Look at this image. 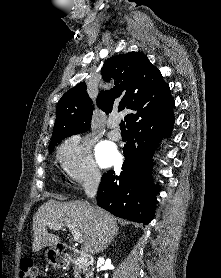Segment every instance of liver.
Segmentation results:
<instances>
[{
  "label": "liver",
  "instance_id": "liver-1",
  "mask_svg": "<svg viewBox=\"0 0 221 278\" xmlns=\"http://www.w3.org/2000/svg\"><path fill=\"white\" fill-rule=\"evenodd\" d=\"M54 224L75 226L85 241L82 251L92 255L106 249L119 230L116 219L100 207L79 200L60 202L50 199L33 217V252L60 242L59 236L47 231V227Z\"/></svg>",
  "mask_w": 221,
  "mask_h": 278
}]
</instances>
